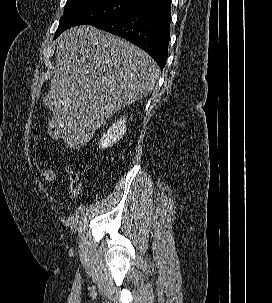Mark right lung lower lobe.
I'll return each mask as SVG.
<instances>
[{"instance_id": "98d812e1", "label": "right lung lower lobe", "mask_w": 272, "mask_h": 303, "mask_svg": "<svg viewBox=\"0 0 272 303\" xmlns=\"http://www.w3.org/2000/svg\"><path fill=\"white\" fill-rule=\"evenodd\" d=\"M171 0H157L92 26L118 35L145 50L164 68L170 40Z\"/></svg>"}]
</instances>
